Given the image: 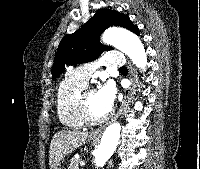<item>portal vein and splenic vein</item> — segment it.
<instances>
[{
	"instance_id": "portal-vein-and-splenic-vein-1",
	"label": "portal vein and splenic vein",
	"mask_w": 200,
	"mask_h": 169,
	"mask_svg": "<svg viewBox=\"0 0 200 169\" xmlns=\"http://www.w3.org/2000/svg\"><path fill=\"white\" fill-rule=\"evenodd\" d=\"M80 165H81V166H84V165H85V162H84V161H81V162H80Z\"/></svg>"
}]
</instances>
